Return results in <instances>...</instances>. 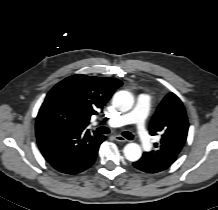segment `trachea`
<instances>
[{
	"label": "trachea",
	"instance_id": "1",
	"mask_svg": "<svg viewBox=\"0 0 218 210\" xmlns=\"http://www.w3.org/2000/svg\"><path fill=\"white\" fill-rule=\"evenodd\" d=\"M98 132L102 133V134H108L110 132V130L107 127L101 126L97 129ZM122 135L127 138L128 140H133L134 136L128 132V131H124L122 133Z\"/></svg>",
	"mask_w": 218,
	"mask_h": 210
}]
</instances>
